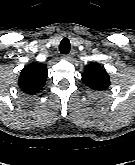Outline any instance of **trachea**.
I'll return each instance as SVG.
<instances>
[{
  "mask_svg": "<svg viewBox=\"0 0 135 165\" xmlns=\"http://www.w3.org/2000/svg\"><path fill=\"white\" fill-rule=\"evenodd\" d=\"M71 49V44L68 38H63L60 42L59 51L61 54H68Z\"/></svg>",
  "mask_w": 135,
  "mask_h": 165,
  "instance_id": "trachea-1",
  "label": "trachea"
}]
</instances>
